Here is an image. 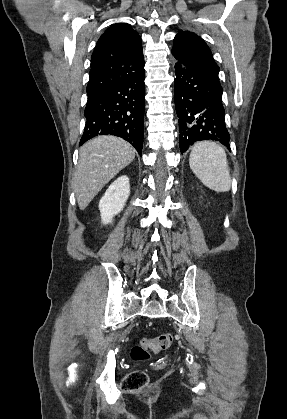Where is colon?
<instances>
[{
  "mask_svg": "<svg viewBox=\"0 0 287 419\" xmlns=\"http://www.w3.org/2000/svg\"><path fill=\"white\" fill-rule=\"evenodd\" d=\"M173 341L169 333H164L155 338H143L131 349V358L134 361H145L151 354H157L168 349ZM149 382L148 374L143 370H135L128 373L123 381L122 388L126 391L137 390L145 387Z\"/></svg>",
  "mask_w": 287,
  "mask_h": 419,
  "instance_id": "5ec220e1",
  "label": "colon"
}]
</instances>
